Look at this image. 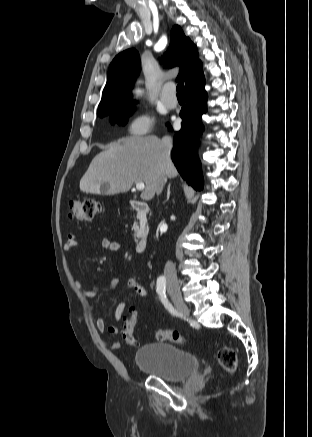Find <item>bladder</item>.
I'll return each mask as SVG.
<instances>
[{"mask_svg":"<svg viewBox=\"0 0 312 437\" xmlns=\"http://www.w3.org/2000/svg\"><path fill=\"white\" fill-rule=\"evenodd\" d=\"M136 366L168 382H179L199 373V361L190 351L167 342L148 343L135 355Z\"/></svg>","mask_w":312,"mask_h":437,"instance_id":"bladder-1","label":"bladder"}]
</instances>
